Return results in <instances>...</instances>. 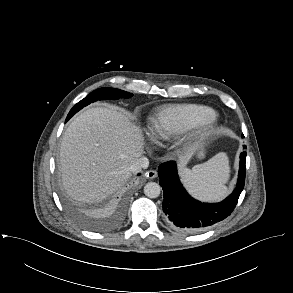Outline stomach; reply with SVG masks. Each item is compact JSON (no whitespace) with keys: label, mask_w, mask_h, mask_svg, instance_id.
I'll return each instance as SVG.
<instances>
[{"label":"stomach","mask_w":293,"mask_h":293,"mask_svg":"<svg viewBox=\"0 0 293 293\" xmlns=\"http://www.w3.org/2000/svg\"><path fill=\"white\" fill-rule=\"evenodd\" d=\"M198 156L199 157H202L203 156V148H200L197 152Z\"/></svg>","instance_id":"0dacf381"}]
</instances>
